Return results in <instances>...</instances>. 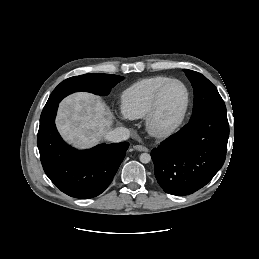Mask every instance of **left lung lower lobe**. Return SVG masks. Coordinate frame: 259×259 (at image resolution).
Listing matches in <instances>:
<instances>
[{"mask_svg":"<svg viewBox=\"0 0 259 259\" xmlns=\"http://www.w3.org/2000/svg\"><path fill=\"white\" fill-rule=\"evenodd\" d=\"M229 137L227 114L207 113L151 151L155 176L163 190L188 195L205 186L224 164Z\"/></svg>","mask_w":259,"mask_h":259,"instance_id":"0a47b994","label":"left lung lower lobe"}]
</instances>
